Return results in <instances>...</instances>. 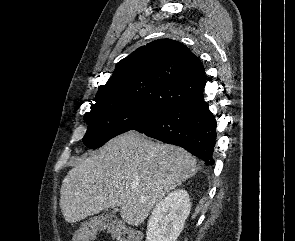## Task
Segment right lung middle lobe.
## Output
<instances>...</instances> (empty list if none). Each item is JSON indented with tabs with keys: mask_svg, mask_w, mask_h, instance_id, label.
<instances>
[{
	"mask_svg": "<svg viewBox=\"0 0 295 241\" xmlns=\"http://www.w3.org/2000/svg\"><path fill=\"white\" fill-rule=\"evenodd\" d=\"M94 101L84 116L88 129L83 142L91 149L150 122L164 111L113 95H96Z\"/></svg>",
	"mask_w": 295,
	"mask_h": 241,
	"instance_id": "obj_1",
	"label": "right lung middle lobe"
}]
</instances>
